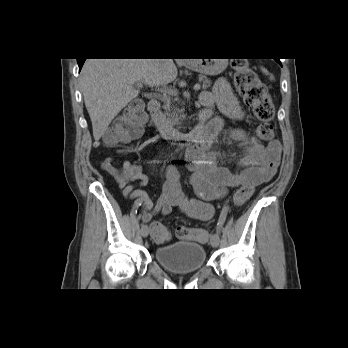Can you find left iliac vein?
<instances>
[{
  "instance_id": "1",
  "label": "left iliac vein",
  "mask_w": 348,
  "mask_h": 348,
  "mask_svg": "<svg viewBox=\"0 0 348 348\" xmlns=\"http://www.w3.org/2000/svg\"><path fill=\"white\" fill-rule=\"evenodd\" d=\"M219 242H220L219 235L217 233H213L211 235V238H210V243H211L212 247H214V248L218 247Z\"/></svg>"
}]
</instances>
